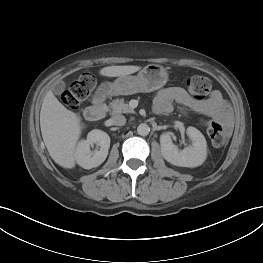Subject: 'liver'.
Masks as SVG:
<instances>
[{
	"mask_svg": "<svg viewBox=\"0 0 263 263\" xmlns=\"http://www.w3.org/2000/svg\"><path fill=\"white\" fill-rule=\"evenodd\" d=\"M140 69V66L133 65L108 66L99 73L102 76L118 77ZM80 123V117L66 109L52 91L47 92L40 111L41 133L51 158L63 168L71 169L76 165V144L82 129Z\"/></svg>",
	"mask_w": 263,
	"mask_h": 263,
	"instance_id": "1",
	"label": "liver"
}]
</instances>
